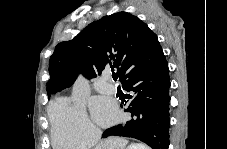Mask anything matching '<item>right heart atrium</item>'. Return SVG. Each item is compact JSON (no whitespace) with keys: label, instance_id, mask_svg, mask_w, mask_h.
I'll return each instance as SVG.
<instances>
[{"label":"right heart atrium","instance_id":"d8ad5b80","mask_svg":"<svg viewBox=\"0 0 227 149\" xmlns=\"http://www.w3.org/2000/svg\"><path fill=\"white\" fill-rule=\"evenodd\" d=\"M51 139L60 149H79L96 143L100 129L78 102L66 98L55 99L49 109Z\"/></svg>","mask_w":227,"mask_h":149}]
</instances>
